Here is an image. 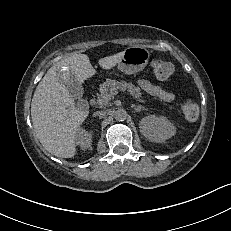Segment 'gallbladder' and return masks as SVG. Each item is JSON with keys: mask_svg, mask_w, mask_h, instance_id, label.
Listing matches in <instances>:
<instances>
[{"mask_svg": "<svg viewBox=\"0 0 231 231\" xmlns=\"http://www.w3.org/2000/svg\"><path fill=\"white\" fill-rule=\"evenodd\" d=\"M56 80L65 88L73 97H80L83 95L81 83L75 78L74 72L67 66H61L55 72Z\"/></svg>", "mask_w": 231, "mask_h": 231, "instance_id": "obj_1", "label": "gallbladder"}]
</instances>
